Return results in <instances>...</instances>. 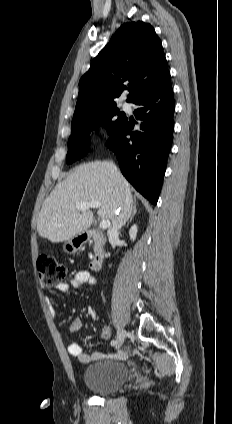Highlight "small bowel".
Wrapping results in <instances>:
<instances>
[{
	"instance_id": "obj_1",
	"label": "small bowel",
	"mask_w": 232,
	"mask_h": 424,
	"mask_svg": "<svg viewBox=\"0 0 232 424\" xmlns=\"http://www.w3.org/2000/svg\"><path fill=\"white\" fill-rule=\"evenodd\" d=\"M88 285V286H95L96 285V279L92 276L90 272L87 270H79L75 273L73 278L69 283H58L56 285V290L61 293H68L71 288H79L81 286ZM45 303L49 311L57 316L59 313L54 308V305L52 303V300L49 297H45ZM82 329V320L80 318H74L70 325L69 330L73 334L80 333ZM112 336V330L109 327H104L101 330L100 337L103 340H109ZM68 353L77 358L81 363H89L93 360L100 359L105 356L104 353L101 352H94V353H88L85 352L82 345L78 342H71L67 345ZM118 358L125 357L124 352H119L117 354Z\"/></svg>"
}]
</instances>
